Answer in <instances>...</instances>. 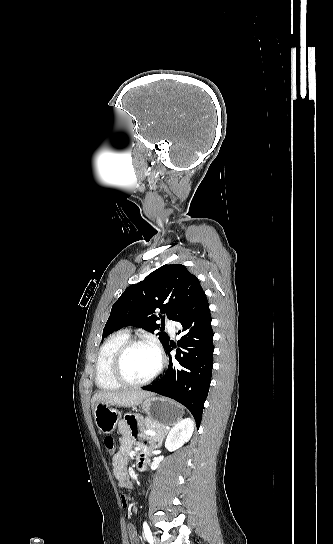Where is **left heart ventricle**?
<instances>
[{
	"mask_svg": "<svg viewBox=\"0 0 333 544\" xmlns=\"http://www.w3.org/2000/svg\"><path fill=\"white\" fill-rule=\"evenodd\" d=\"M158 365L156 352L148 346H135L126 354L123 362L125 376L131 381L148 378Z\"/></svg>",
	"mask_w": 333,
	"mask_h": 544,
	"instance_id": "1",
	"label": "left heart ventricle"
}]
</instances>
